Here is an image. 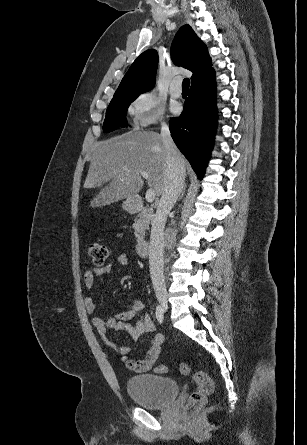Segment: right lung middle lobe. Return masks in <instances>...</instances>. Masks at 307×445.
<instances>
[{
	"label": "right lung middle lobe",
	"instance_id": "1",
	"mask_svg": "<svg viewBox=\"0 0 307 445\" xmlns=\"http://www.w3.org/2000/svg\"><path fill=\"white\" fill-rule=\"evenodd\" d=\"M136 98L137 97H126L110 102L103 124L104 132H111L118 127H126L128 125L125 115L130 103Z\"/></svg>",
	"mask_w": 307,
	"mask_h": 445
}]
</instances>
